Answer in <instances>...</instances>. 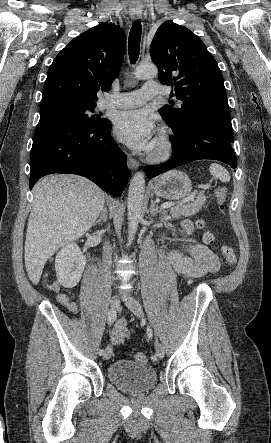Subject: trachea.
<instances>
[{
    "instance_id": "obj_1",
    "label": "trachea",
    "mask_w": 271,
    "mask_h": 443,
    "mask_svg": "<svg viewBox=\"0 0 271 443\" xmlns=\"http://www.w3.org/2000/svg\"><path fill=\"white\" fill-rule=\"evenodd\" d=\"M141 31V23L136 21L130 30L128 39V52L131 63H135L139 56Z\"/></svg>"
}]
</instances>
